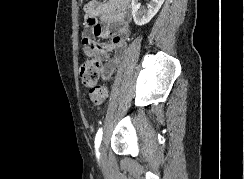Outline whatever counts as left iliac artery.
Instances as JSON below:
<instances>
[{
    "mask_svg": "<svg viewBox=\"0 0 244 179\" xmlns=\"http://www.w3.org/2000/svg\"><path fill=\"white\" fill-rule=\"evenodd\" d=\"M102 134H103V131H102V128H100L96 134V137H95V149H96L97 155H99L98 149H99L100 144H101Z\"/></svg>",
    "mask_w": 244,
    "mask_h": 179,
    "instance_id": "left-iliac-artery-1",
    "label": "left iliac artery"
}]
</instances>
